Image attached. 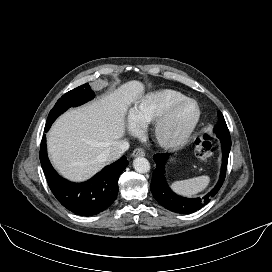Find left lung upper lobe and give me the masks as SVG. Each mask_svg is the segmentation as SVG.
<instances>
[{
	"instance_id": "left-lung-upper-lobe-1",
	"label": "left lung upper lobe",
	"mask_w": 272,
	"mask_h": 272,
	"mask_svg": "<svg viewBox=\"0 0 272 272\" xmlns=\"http://www.w3.org/2000/svg\"><path fill=\"white\" fill-rule=\"evenodd\" d=\"M218 119L219 121L217 125L214 127L215 134L221 141L230 142L231 139H230L229 130L226 125L225 119L220 111L218 112Z\"/></svg>"
}]
</instances>
